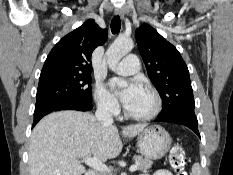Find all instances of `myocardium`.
<instances>
[{"mask_svg": "<svg viewBox=\"0 0 233 175\" xmlns=\"http://www.w3.org/2000/svg\"><path fill=\"white\" fill-rule=\"evenodd\" d=\"M143 90L147 92L153 98L154 100L153 108L144 114H133L129 112L128 109L125 107L124 113L127 118H130L136 121H148L158 116L159 113L161 112L163 102H162V98L159 92L151 86H145Z\"/></svg>", "mask_w": 233, "mask_h": 175, "instance_id": "f54148a6", "label": "myocardium"}]
</instances>
